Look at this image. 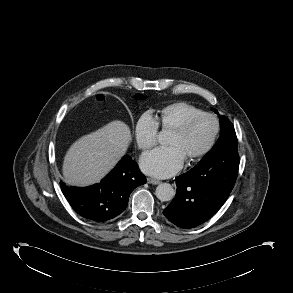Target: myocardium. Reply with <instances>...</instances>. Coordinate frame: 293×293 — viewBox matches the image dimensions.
Instances as JSON below:
<instances>
[{"instance_id": "obj_1", "label": "myocardium", "mask_w": 293, "mask_h": 293, "mask_svg": "<svg viewBox=\"0 0 293 293\" xmlns=\"http://www.w3.org/2000/svg\"><path fill=\"white\" fill-rule=\"evenodd\" d=\"M205 117L211 119L214 124V130H213L212 136H211L209 142L207 143V145L201 151H199L197 154H195L194 156L187 159V161L189 163H195V162L201 160L203 157H205L213 149V147L215 146V144L217 142L219 133H220L219 119L217 118V116H215L212 113L201 112V113H198V114L190 117L181 126H179L178 128H176L172 131V133H174L176 135L183 136L191 130V128L194 126V124L198 120H200L201 118H205Z\"/></svg>"}]
</instances>
